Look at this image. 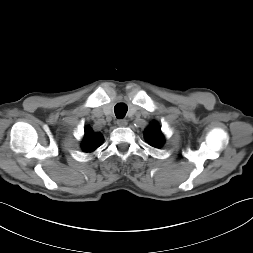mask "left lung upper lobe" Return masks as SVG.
Returning a JSON list of instances; mask_svg holds the SVG:
<instances>
[{"mask_svg": "<svg viewBox=\"0 0 253 253\" xmlns=\"http://www.w3.org/2000/svg\"><path fill=\"white\" fill-rule=\"evenodd\" d=\"M145 138L153 147H161L164 143V136L161 132V128L156 122H152L146 129Z\"/></svg>", "mask_w": 253, "mask_h": 253, "instance_id": "1", "label": "left lung upper lobe"}]
</instances>
